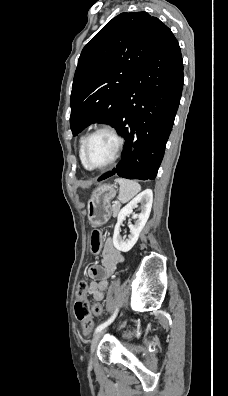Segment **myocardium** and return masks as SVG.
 <instances>
[{"label": "myocardium", "instance_id": "1", "mask_svg": "<svg viewBox=\"0 0 228 396\" xmlns=\"http://www.w3.org/2000/svg\"><path fill=\"white\" fill-rule=\"evenodd\" d=\"M100 132H107V133L111 134L113 136V138L115 139L116 146H115V151H114L112 158L107 163H105L103 165H99V166H94V165H91L88 160L87 150H88V146H89V143H90V140L92 139V137ZM122 147H123V139L120 136V134L117 132V130L114 127H112L111 125H107V124L101 125V126L97 127L96 129H94L92 132H90L85 138V141L83 144L84 163L89 170L106 169V168L110 167L111 165H113L116 162V160L119 158L120 153L122 151Z\"/></svg>", "mask_w": 228, "mask_h": 396}]
</instances>
